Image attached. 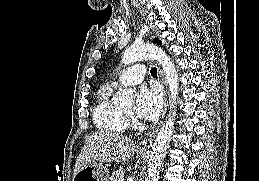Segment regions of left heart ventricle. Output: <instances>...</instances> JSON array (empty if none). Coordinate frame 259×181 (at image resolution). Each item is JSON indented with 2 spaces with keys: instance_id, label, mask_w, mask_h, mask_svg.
Returning a JSON list of instances; mask_svg holds the SVG:
<instances>
[{
  "instance_id": "1",
  "label": "left heart ventricle",
  "mask_w": 259,
  "mask_h": 181,
  "mask_svg": "<svg viewBox=\"0 0 259 181\" xmlns=\"http://www.w3.org/2000/svg\"><path fill=\"white\" fill-rule=\"evenodd\" d=\"M133 110H134V108H133V106H132V107L126 109L125 112H127V113H133Z\"/></svg>"
}]
</instances>
